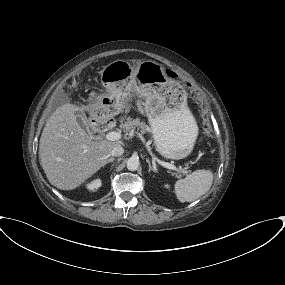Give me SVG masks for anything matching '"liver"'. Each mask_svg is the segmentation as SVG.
<instances>
[{
    "mask_svg": "<svg viewBox=\"0 0 285 285\" xmlns=\"http://www.w3.org/2000/svg\"><path fill=\"white\" fill-rule=\"evenodd\" d=\"M102 95L91 93L88 105L66 103L50 116L39 144V159L48 181L61 190L80 187L107 164L120 141H93L77 121L76 112L87 111L92 119L101 108Z\"/></svg>",
    "mask_w": 285,
    "mask_h": 285,
    "instance_id": "liver-1",
    "label": "liver"
}]
</instances>
